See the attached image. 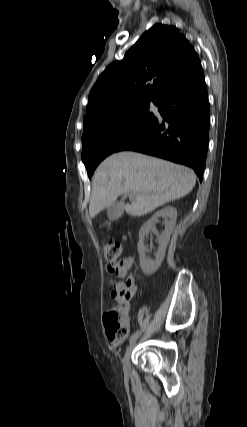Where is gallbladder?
Wrapping results in <instances>:
<instances>
[{
	"label": "gallbladder",
	"mask_w": 247,
	"mask_h": 427,
	"mask_svg": "<svg viewBox=\"0 0 247 427\" xmlns=\"http://www.w3.org/2000/svg\"><path fill=\"white\" fill-rule=\"evenodd\" d=\"M123 211H124V203L122 201L114 202L108 207L107 216L110 220H117L122 216Z\"/></svg>",
	"instance_id": "1"
}]
</instances>
